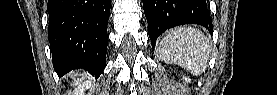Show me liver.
<instances>
[{
  "instance_id": "6515ba94",
  "label": "liver",
  "mask_w": 277,
  "mask_h": 95,
  "mask_svg": "<svg viewBox=\"0 0 277 95\" xmlns=\"http://www.w3.org/2000/svg\"><path fill=\"white\" fill-rule=\"evenodd\" d=\"M75 77H78V75H77V74H75V75H74V80H75ZM81 89H82V88H81V87H79L77 91H79V92H80V91H81Z\"/></svg>"
}]
</instances>
